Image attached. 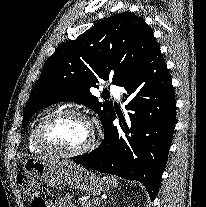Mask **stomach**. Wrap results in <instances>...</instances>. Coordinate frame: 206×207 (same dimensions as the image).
Instances as JSON below:
<instances>
[{"mask_svg":"<svg viewBox=\"0 0 206 207\" xmlns=\"http://www.w3.org/2000/svg\"><path fill=\"white\" fill-rule=\"evenodd\" d=\"M23 171L48 186L66 185L91 195L105 193L110 186H113V182L108 177H99L83 167L66 166L61 161L54 159H26L23 162Z\"/></svg>","mask_w":206,"mask_h":207,"instance_id":"obj_1","label":"stomach"}]
</instances>
